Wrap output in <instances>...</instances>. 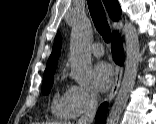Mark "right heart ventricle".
<instances>
[{
	"label": "right heart ventricle",
	"mask_w": 156,
	"mask_h": 124,
	"mask_svg": "<svg viewBox=\"0 0 156 124\" xmlns=\"http://www.w3.org/2000/svg\"><path fill=\"white\" fill-rule=\"evenodd\" d=\"M51 110L52 113L58 118L68 117L65 107V95L62 97H60L59 95H55L51 105Z\"/></svg>",
	"instance_id": "e07e8e85"
}]
</instances>
